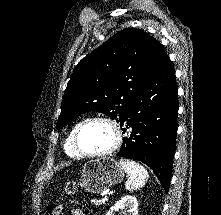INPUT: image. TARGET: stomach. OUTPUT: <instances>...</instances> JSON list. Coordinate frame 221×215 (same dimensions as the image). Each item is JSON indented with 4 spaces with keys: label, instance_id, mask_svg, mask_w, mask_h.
<instances>
[{
    "label": "stomach",
    "instance_id": "0dacf381",
    "mask_svg": "<svg viewBox=\"0 0 221 215\" xmlns=\"http://www.w3.org/2000/svg\"><path fill=\"white\" fill-rule=\"evenodd\" d=\"M124 168L113 158L87 162L82 170L80 186L93 194L102 193L124 178Z\"/></svg>",
    "mask_w": 221,
    "mask_h": 215
}]
</instances>
